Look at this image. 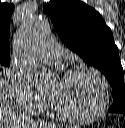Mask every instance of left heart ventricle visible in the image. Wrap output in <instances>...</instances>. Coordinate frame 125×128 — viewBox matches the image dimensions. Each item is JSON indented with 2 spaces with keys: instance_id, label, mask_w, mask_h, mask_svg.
<instances>
[{
  "instance_id": "b2bd125f",
  "label": "left heart ventricle",
  "mask_w": 125,
  "mask_h": 128,
  "mask_svg": "<svg viewBox=\"0 0 125 128\" xmlns=\"http://www.w3.org/2000/svg\"><path fill=\"white\" fill-rule=\"evenodd\" d=\"M49 94L71 113H91L99 108L103 99L101 83L89 72L56 78Z\"/></svg>"
}]
</instances>
